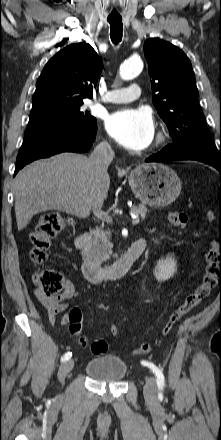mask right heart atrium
I'll use <instances>...</instances> for the list:
<instances>
[{"mask_svg": "<svg viewBox=\"0 0 221 440\" xmlns=\"http://www.w3.org/2000/svg\"><path fill=\"white\" fill-rule=\"evenodd\" d=\"M104 145H105L107 148H111V145H110L109 142H104Z\"/></svg>", "mask_w": 221, "mask_h": 440, "instance_id": "1", "label": "right heart atrium"}]
</instances>
